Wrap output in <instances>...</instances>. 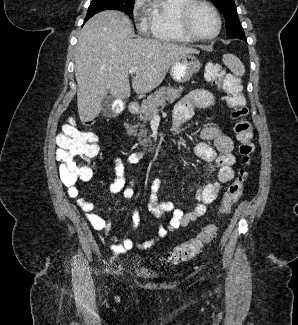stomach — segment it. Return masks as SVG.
<instances>
[{"label":"stomach","mask_w":298,"mask_h":325,"mask_svg":"<svg viewBox=\"0 0 298 325\" xmlns=\"http://www.w3.org/2000/svg\"><path fill=\"white\" fill-rule=\"evenodd\" d=\"M201 66L202 62L195 54H183L171 64L169 74L175 82H188L194 74L199 72Z\"/></svg>","instance_id":"stomach-1"}]
</instances>
